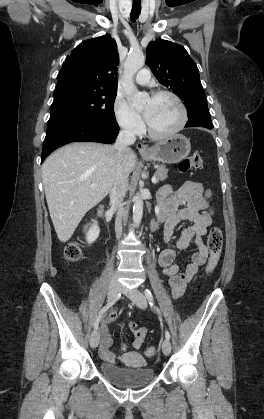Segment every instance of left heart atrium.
<instances>
[{
  "label": "left heart atrium",
  "mask_w": 264,
  "mask_h": 419,
  "mask_svg": "<svg viewBox=\"0 0 264 419\" xmlns=\"http://www.w3.org/2000/svg\"><path fill=\"white\" fill-rule=\"evenodd\" d=\"M145 117H146V119L148 121L149 120V117H150L149 113H145Z\"/></svg>",
  "instance_id": "1"
}]
</instances>
